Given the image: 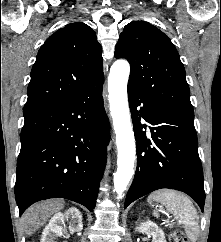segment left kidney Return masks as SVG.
I'll list each match as a JSON object with an SVG mask.
<instances>
[{"label": "left kidney", "instance_id": "left-kidney-1", "mask_svg": "<svg viewBox=\"0 0 221 242\" xmlns=\"http://www.w3.org/2000/svg\"><path fill=\"white\" fill-rule=\"evenodd\" d=\"M136 231L152 235V242H166L165 234L154 222L148 220L141 222Z\"/></svg>", "mask_w": 221, "mask_h": 242}]
</instances>
